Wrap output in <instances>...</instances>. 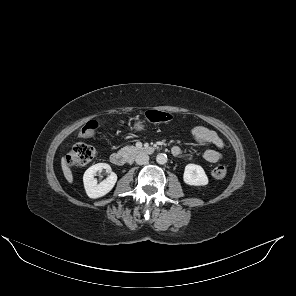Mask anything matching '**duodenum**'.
I'll return each instance as SVG.
<instances>
[{
  "label": "duodenum",
  "mask_w": 296,
  "mask_h": 296,
  "mask_svg": "<svg viewBox=\"0 0 296 296\" xmlns=\"http://www.w3.org/2000/svg\"><path fill=\"white\" fill-rule=\"evenodd\" d=\"M143 152L146 154H150L153 152V148L148 147L143 149ZM131 160V157L127 154L121 153V152H113L110 155V161L112 164L116 166H124Z\"/></svg>",
  "instance_id": "obj_1"
}]
</instances>
